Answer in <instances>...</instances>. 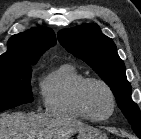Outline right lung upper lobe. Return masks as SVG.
<instances>
[{
  "label": "right lung upper lobe",
  "instance_id": "right-lung-upper-lobe-1",
  "mask_svg": "<svg viewBox=\"0 0 141 139\" xmlns=\"http://www.w3.org/2000/svg\"><path fill=\"white\" fill-rule=\"evenodd\" d=\"M55 43L54 32L46 27L16 34L8 41V51L0 56V67L34 65Z\"/></svg>",
  "mask_w": 141,
  "mask_h": 139
}]
</instances>
